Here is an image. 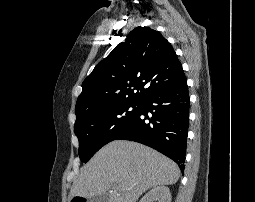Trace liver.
Returning a JSON list of instances; mask_svg holds the SVG:
<instances>
[{
	"label": "liver",
	"instance_id": "1",
	"mask_svg": "<svg viewBox=\"0 0 255 202\" xmlns=\"http://www.w3.org/2000/svg\"><path fill=\"white\" fill-rule=\"evenodd\" d=\"M180 176L177 164L145 145L115 140L102 147L81 169L71 197L90 199L108 194V202H136L155 186L172 185Z\"/></svg>",
	"mask_w": 255,
	"mask_h": 202
}]
</instances>
